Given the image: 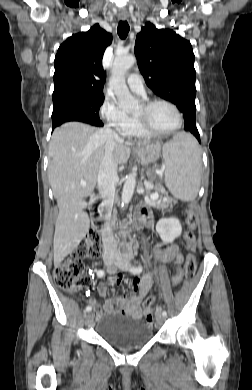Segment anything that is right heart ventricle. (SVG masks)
Segmentation results:
<instances>
[{
  "label": "right heart ventricle",
  "mask_w": 252,
  "mask_h": 390,
  "mask_svg": "<svg viewBox=\"0 0 252 390\" xmlns=\"http://www.w3.org/2000/svg\"><path fill=\"white\" fill-rule=\"evenodd\" d=\"M129 137L137 138V139H149L152 136L144 133L138 126L136 119H133V128L129 134Z\"/></svg>",
  "instance_id": "1"
}]
</instances>
